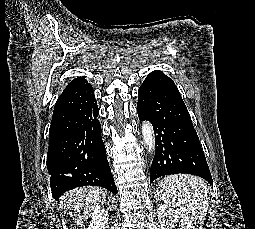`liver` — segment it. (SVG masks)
<instances>
[{
    "label": "liver",
    "mask_w": 255,
    "mask_h": 229,
    "mask_svg": "<svg viewBox=\"0 0 255 229\" xmlns=\"http://www.w3.org/2000/svg\"><path fill=\"white\" fill-rule=\"evenodd\" d=\"M106 194V190L100 187L86 186L77 188L66 194L67 202L65 206L71 211L82 210L84 213H88L100 208L106 202Z\"/></svg>",
    "instance_id": "6515ba94"
}]
</instances>
